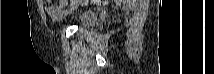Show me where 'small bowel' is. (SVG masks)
I'll list each match as a JSON object with an SVG mask.
<instances>
[{
	"label": "small bowel",
	"instance_id": "c3829d8e",
	"mask_svg": "<svg viewBox=\"0 0 214 74\" xmlns=\"http://www.w3.org/2000/svg\"><path fill=\"white\" fill-rule=\"evenodd\" d=\"M46 11L53 18L62 17L64 14L63 6L47 5Z\"/></svg>",
	"mask_w": 214,
	"mask_h": 74
}]
</instances>
